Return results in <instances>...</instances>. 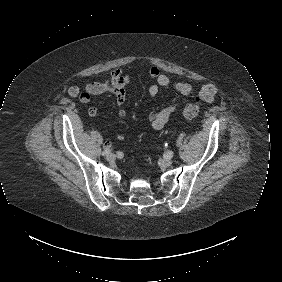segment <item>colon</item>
<instances>
[{"instance_id":"1","label":"colon","mask_w":282,"mask_h":282,"mask_svg":"<svg viewBox=\"0 0 282 282\" xmlns=\"http://www.w3.org/2000/svg\"><path fill=\"white\" fill-rule=\"evenodd\" d=\"M202 102L203 99L200 95L196 96L194 98V101L192 104H190L189 106H187L185 108V110L183 111V117L186 119H191L193 117H195L199 111H200V107L202 106Z\"/></svg>"}]
</instances>
